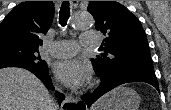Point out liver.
<instances>
[{
	"label": "liver",
	"instance_id": "liver-1",
	"mask_svg": "<svg viewBox=\"0 0 171 110\" xmlns=\"http://www.w3.org/2000/svg\"><path fill=\"white\" fill-rule=\"evenodd\" d=\"M99 100L92 107L98 110ZM0 110H58L43 83L22 68L0 69Z\"/></svg>",
	"mask_w": 171,
	"mask_h": 110
}]
</instances>
